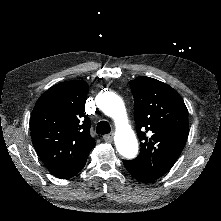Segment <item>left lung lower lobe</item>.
<instances>
[{"mask_svg":"<svg viewBox=\"0 0 221 221\" xmlns=\"http://www.w3.org/2000/svg\"><path fill=\"white\" fill-rule=\"evenodd\" d=\"M123 162L129 173L138 181L149 183L159 178L150 174L142 166L136 164L132 160H124Z\"/></svg>","mask_w":221,"mask_h":221,"instance_id":"1","label":"left lung lower lobe"}]
</instances>
